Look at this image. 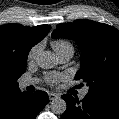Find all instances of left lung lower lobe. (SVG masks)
I'll list each match as a JSON object with an SVG mask.
<instances>
[{"label":"left lung lower lobe","instance_id":"1","mask_svg":"<svg viewBox=\"0 0 119 119\" xmlns=\"http://www.w3.org/2000/svg\"><path fill=\"white\" fill-rule=\"evenodd\" d=\"M67 109L61 119H119V97L87 93L82 101L65 94Z\"/></svg>","mask_w":119,"mask_h":119}]
</instances>
